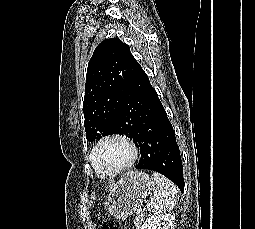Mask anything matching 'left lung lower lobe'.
Segmentation results:
<instances>
[{
	"instance_id": "0a47b994",
	"label": "left lung lower lobe",
	"mask_w": 255,
	"mask_h": 229,
	"mask_svg": "<svg viewBox=\"0 0 255 229\" xmlns=\"http://www.w3.org/2000/svg\"><path fill=\"white\" fill-rule=\"evenodd\" d=\"M118 119L135 135L141 158L136 169L159 172L184 190L183 166L173 127L148 76L139 65Z\"/></svg>"
}]
</instances>
